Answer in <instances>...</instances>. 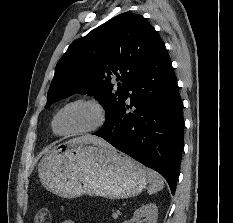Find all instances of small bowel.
Instances as JSON below:
<instances>
[{
  "mask_svg": "<svg viewBox=\"0 0 233 223\" xmlns=\"http://www.w3.org/2000/svg\"><path fill=\"white\" fill-rule=\"evenodd\" d=\"M63 223H75L72 219H66L63 221Z\"/></svg>",
  "mask_w": 233,
  "mask_h": 223,
  "instance_id": "1",
  "label": "small bowel"
}]
</instances>
